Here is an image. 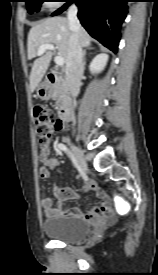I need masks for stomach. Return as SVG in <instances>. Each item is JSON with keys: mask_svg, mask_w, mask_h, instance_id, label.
<instances>
[{"mask_svg": "<svg viewBox=\"0 0 158 275\" xmlns=\"http://www.w3.org/2000/svg\"><path fill=\"white\" fill-rule=\"evenodd\" d=\"M36 93L41 100H49L53 94V87L45 80L38 85Z\"/></svg>", "mask_w": 158, "mask_h": 275, "instance_id": "stomach-1", "label": "stomach"}]
</instances>
